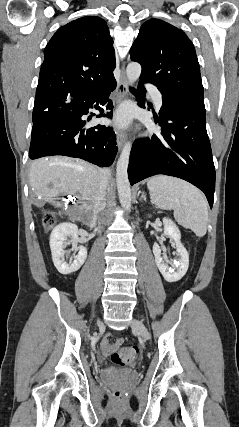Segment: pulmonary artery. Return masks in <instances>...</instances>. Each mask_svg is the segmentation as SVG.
<instances>
[{
  "mask_svg": "<svg viewBox=\"0 0 239 427\" xmlns=\"http://www.w3.org/2000/svg\"><path fill=\"white\" fill-rule=\"evenodd\" d=\"M146 89L153 96L157 107L161 108L162 107V97H161L159 90L152 84H146Z\"/></svg>",
  "mask_w": 239,
  "mask_h": 427,
  "instance_id": "obj_1",
  "label": "pulmonary artery"
}]
</instances>
